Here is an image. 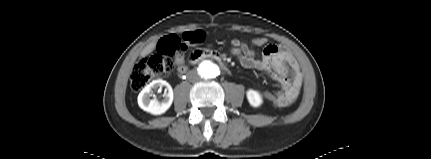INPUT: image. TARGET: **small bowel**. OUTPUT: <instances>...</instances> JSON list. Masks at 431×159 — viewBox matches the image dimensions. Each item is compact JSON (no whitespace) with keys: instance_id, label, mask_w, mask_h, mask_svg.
Instances as JSON below:
<instances>
[{"instance_id":"1","label":"small bowel","mask_w":431,"mask_h":159,"mask_svg":"<svg viewBox=\"0 0 431 159\" xmlns=\"http://www.w3.org/2000/svg\"><path fill=\"white\" fill-rule=\"evenodd\" d=\"M243 46L244 53L235 55L239 63L245 68H253L264 71L277 82L282 90L272 94L273 107H284L292 104L299 96L302 75L293 55L281 46L271 44L265 37L255 38L250 44L238 39L231 41V48ZM253 47H263L260 56H256ZM228 50V47H225ZM178 71L184 73L187 67L182 58H178ZM270 100V99H269Z\"/></svg>"}]
</instances>
